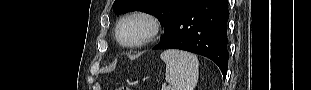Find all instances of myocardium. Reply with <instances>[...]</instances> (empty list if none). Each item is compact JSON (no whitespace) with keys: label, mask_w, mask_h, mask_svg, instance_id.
<instances>
[{"label":"myocardium","mask_w":311,"mask_h":90,"mask_svg":"<svg viewBox=\"0 0 311 90\" xmlns=\"http://www.w3.org/2000/svg\"><path fill=\"white\" fill-rule=\"evenodd\" d=\"M132 21L142 22L146 28L145 32L141 37L135 40H124L120 34L121 29L126 23ZM160 30L161 24L156 16L146 12H132L123 16L116 24L115 38L117 42L123 47L137 48L153 41L159 34Z\"/></svg>","instance_id":"obj_1"}]
</instances>
